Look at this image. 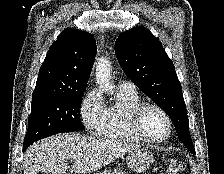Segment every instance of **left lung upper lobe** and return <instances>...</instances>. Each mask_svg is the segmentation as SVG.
Here are the masks:
<instances>
[{"instance_id":"5c2ea615","label":"left lung upper lobe","mask_w":224,"mask_h":174,"mask_svg":"<svg viewBox=\"0 0 224 174\" xmlns=\"http://www.w3.org/2000/svg\"><path fill=\"white\" fill-rule=\"evenodd\" d=\"M115 53L126 75L168 114L180 141L195 153L182 88L159 40L144 27L133 28L116 39Z\"/></svg>"}]
</instances>
